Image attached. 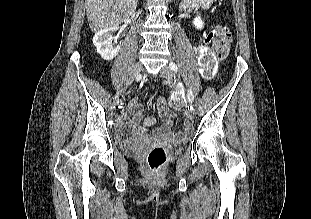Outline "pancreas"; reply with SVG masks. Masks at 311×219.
<instances>
[{"instance_id":"pancreas-1","label":"pancreas","mask_w":311,"mask_h":219,"mask_svg":"<svg viewBox=\"0 0 311 219\" xmlns=\"http://www.w3.org/2000/svg\"><path fill=\"white\" fill-rule=\"evenodd\" d=\"M196 3H197V0H186V6H187L188 8H190V7L194 6V5H196Z\"/></svg>"}]
</instances>
